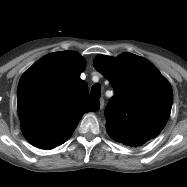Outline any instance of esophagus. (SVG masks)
<instances>
[{"instance_id":"1","label":"esophagus","mask_w":187,"mask_h":187,"mask_svg":"<svg viewBox=\"0 0 187 187\" xmlns=\"http://www.w3.org/2000/svg\"><path fill=\"white\" fill-rule=\"evenodd\" d=\"M99 103H100V109H103V107H104V99L103 98L99 99Z\"/></svg>"}]
</instances>
